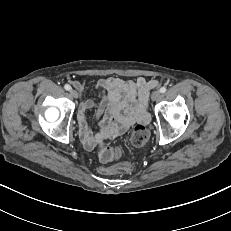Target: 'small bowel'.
I'll list each match as a JSON object with an SVG mask.
<instances>
[{
  "instance_id": "c3829d8e",
  "label": "small bowel",
  "mask_w": 231,
  "mask_h": 231,
  "mask_svg": "<svg viewBox=\"0 0 231 231\" xmlns=\"http://www.w3.org/2000/svg\"><path fill=\"white\" fill-rule=\"evenodd\" d=\"M72 83L78 90H83L84 86L80 82ZM158 85L157 80H147L144 77L135 80L109 77L95 81L94 87L102 93L96 113L100 130L93 133L86 118V112L96 106L95 102L91 99L83 101L77 119L84 147L92 150L106 139L123 133L134 123H146L149 120V92Z\"/></svg>"
}]
</instances>
